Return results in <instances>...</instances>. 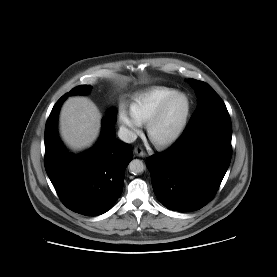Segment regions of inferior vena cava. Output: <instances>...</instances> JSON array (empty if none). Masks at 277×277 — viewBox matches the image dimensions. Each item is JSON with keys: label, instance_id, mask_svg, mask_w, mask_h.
I'll return each mask as SVG.
<instances>
[{"label": "inferior vena cava", "instance_id": "obj_1", "mask_svg": "<svg viewBox=\"0 0 277 277\" xmlns=\"http://www.w3.org/2000/svg\"><path fill=\"white\" fill-rule=\"evenodd\" d=\"M118 136L122 141L126 143H132L137 139V135L133 131L123 126L120 127L118 131Z\"/></svg>", "mask_w": 277, "mask_h": 277}]
</instances>
